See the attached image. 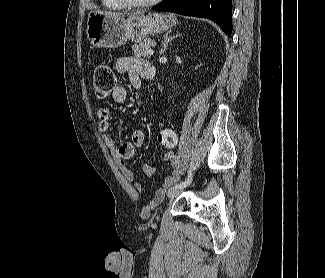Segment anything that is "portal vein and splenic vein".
<instances>
[{
    "mask_svg": "<svg viewBox=\"0 0 325 278\" xmlns=\"http://www.w3.org/2000/svg\"><path fill=\"white\" fill-rule=\"evenodd\" d=\"M148 54H149V55H153V54H154V50H153V49H149V50H148Z\"/></svg>",
    "mask_w": 325,
    "mask_h": 278,
    "instance_id": "obj_1",
    "label": "portal vein and splenic vein"
}]
</instances>
